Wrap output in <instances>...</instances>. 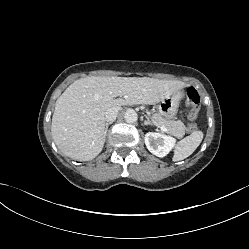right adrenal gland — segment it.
Wrapping results in <instances>:
<instances>
[{
    "mask_svg": "<svg viewBox=\"0 0 249 249\" xmlns=\"http://www.w3.org/2000/svg\"><path fill=\"white\" fill-rule=\"evenodd\" d=\"M111 124H112V122L106 123L105 135H106V133H107V130H108L109 125H111Z\"/></svg>",
    "mask_w": 249,
    "mask_h": 249,
    "instance_id": "right-adrenal-gland-1",
    "label": "right adrenal gland"
}]
</instances>
